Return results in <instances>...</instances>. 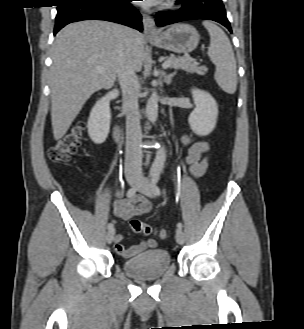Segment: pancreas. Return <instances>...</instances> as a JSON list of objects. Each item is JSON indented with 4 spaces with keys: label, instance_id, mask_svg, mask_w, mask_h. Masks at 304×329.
<instances>
[{
    "label": "pancreas",
    "instance_id": "pancreas-1",
    "mask_svg": "<svg viewBox=\"0 0 304 329\" xmlns=\"http://www.w3.org/2000/svg\"><path fill=\"white\" fill-rule=\"evenodd\" d=\"M166 61H170V68L182 69L189 73L205 75L208 71L206 66H199V63L191 58L170 56L166 58Z\"/></svg>",
    "mask_w": 304,
    "mask_h": 329
}]
</instances>
